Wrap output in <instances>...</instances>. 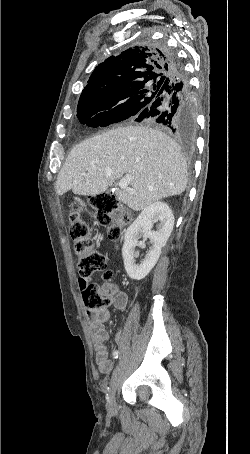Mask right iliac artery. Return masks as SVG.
<instances>
[{"label": "right iliac artery", "instance_id": "1", "mask_svg": "<svg viewBox=\"0 0 250 454\" xmlns=\"http://www.w3.org/2000/svg\"><path fill=\"white\" fill-rule=\"evenodd\" d=\"M118 354H119V352L117 350L113 352V355L115 358H118Z\"/></svg>", "mask_w": 250, "mask_h": 454}]
</instances>
